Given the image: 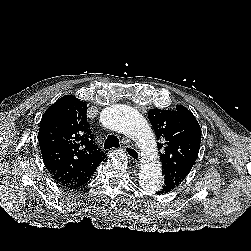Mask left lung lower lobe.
<instances>
[{
	"instance_id": "obj_1",
	"label": "left lung lower lobe",
	"mask_w": 251,
	"mask_h": 251,
	"mask_svg": "<svg viewBox=\"0 0 251 251\" xmlns=\"http://www.w3.org/2000/svg\"><path fill=\"white\" fill-rule=\"evenodd\" d=\"M174 188L175 187H173V185L171 183H168L167 185H165L163 183L160 190H158L156 193L157 194H166V193L172 191Z\"/></svg>"
}]
</instances>
